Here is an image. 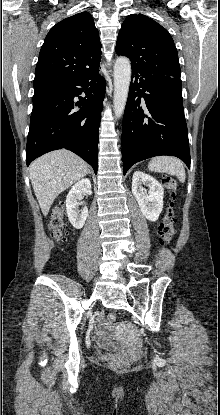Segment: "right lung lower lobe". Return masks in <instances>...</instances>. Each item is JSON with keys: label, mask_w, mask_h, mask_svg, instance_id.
I'll return each instance as SVG.
<instances>
[{"label": "right lung lower lobe", "mask_w": 220, "mask_h": 415, "mask_svg": "<svg viewBox=\"0 0 220 415\" xmlns=\"http://www.w3.org/2000/svg\"><path fill=\"white\" fill-rule=\"evenodd\" d=\"M99 69L62 84L59 91L33 102L26 146L27 166L53 150L68 149L97 174L98 135L105 95V79ZM85 93V98L79 96ZM79 108V109H78Z\"/></svg>", "instance_id": "98d812e1"}]
</instances>
